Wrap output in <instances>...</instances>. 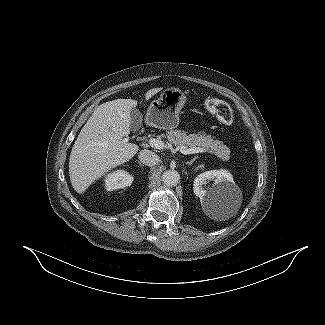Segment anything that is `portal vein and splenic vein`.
I'll return each mask as SVG.
<instances>
[{"mask_svg":"<svg viewBox=\"0 0 325 325\" xmlns=\"http://www.w3.org/2000/svg\"><path fill=\"white\" fill-rule=\"evenodd\" d=\"M149 145L155 149H163L165 147V144L158 139L150 138L149 139ZM179 150L182 154H194V153H203L206 152L207 149H204L202 147H195V148H186L184 146H179Z\"/></svg>","mask_w":325,"mask_h":325,"instance_id":"portal-vein-and-splenic-vein-1","label":"portal vein and splenic vein"}]
</instances>
